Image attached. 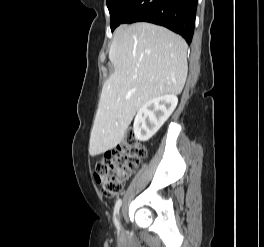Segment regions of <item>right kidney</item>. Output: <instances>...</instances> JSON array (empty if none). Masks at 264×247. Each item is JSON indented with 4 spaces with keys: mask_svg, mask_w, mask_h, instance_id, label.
<instances>
[{
    "mask_svg": "<svg viewBox=\"0 0 264 247\" xmlns=\"http://www.w3.org/2000/svg\"><path fill=\"white\" fill-rule=\"evenodd\" d=\"M178 98L166 94L146 102L138 111L133 125L135 138L148 141L165 123L175 110Z\"/></svg>",
    "mask_w": 264,
    "mask_h": 247,
    "instance_id": "right-kidney-1",
    "label": "right kidney"
}]
</instances>
